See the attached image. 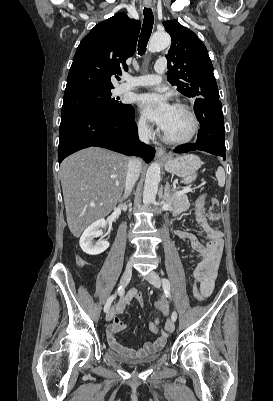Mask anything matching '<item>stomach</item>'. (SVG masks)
<instances>
[{
  "label": "stomach",
  "instance_id": "stomach-1",
  "mask_svg": "<svg viewBox=\"0 0 273 401\" xmlns=\"http://www.w3.org/2000/svg\"><path fill=\"white\" fill-rule=\"evenodd\" d=\"M167 156L168 158H161L165 170L181 176L183 178L182 182H185V184L195 180L197 170L202 164L199 156H196V154H182V156H176V158H173L171 154H167Z\"/></svg>",
  "mask_w": 273,
  "mask_h": 401
}]
</instances>
